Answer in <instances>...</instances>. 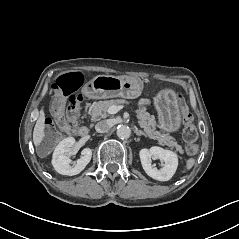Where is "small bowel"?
I'll use <instances>...</instances> for the list:
<instances>
[{
	"label": "small bowel",
	"instance_id": "c3829d8e",
	"mask_svg": "<svg viewBox=\"0 0 239 239\" xmlns=\"http://www.w3.org/2000/svg\"><path fill=\"white\" fill-rule=\"evenodd\" d=\"M148 104H149V101L146 100V99H143V100L140 101L141 106H147Z\"/></svg>",
	"mask_w": 239,
	"mask_h": 239
}]
</instances>
